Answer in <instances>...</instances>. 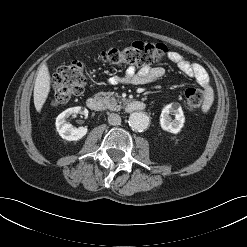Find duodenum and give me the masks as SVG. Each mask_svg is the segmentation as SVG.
Here are the masks:
<instances>
[{
	"label": "duodenum",
	"instance_id": "410a0bca",
	"mask_svg": "<svg viewBox=\"0 0 247 247\" xmlns=\"http://www.w3.org/2000/svg\"><path fill=\"white\" fill-rule=\"evenodd\" d=\"M87 106L94 111L104 112L107 110L106 103L103 99L98 96H90L87 99ZM145 109V104L140 100H131L127 104V110L129 112H138Z\"/></svg>",
	"mask_w": 247,
	"mask_h": 247
}]
</instances>
